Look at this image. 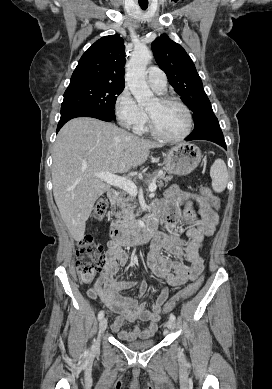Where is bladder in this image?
<instances>
[{"label": "bladder", "mask_w": 272, "mask_h": 389, "mask_svg": "<svg viewBox=\"0 0 272 389\" xmlns=\"http://www.w3.org/2000/svg\"><path fill=\"white\" fill-rule=\"evenodd\" d=\"M126 347L132 350H146L152 348L155 345L154 340H145V341H126Z\"/></svg>", "instance_id": "bladder-1"}]
</instances>
